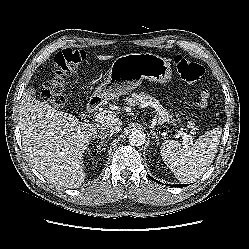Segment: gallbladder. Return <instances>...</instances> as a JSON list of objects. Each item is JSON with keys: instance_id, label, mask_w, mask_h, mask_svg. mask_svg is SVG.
I'll use <instances>...</instances> for the list:
<instances>
[{"instance_id": "1", "label": "gallbladder", "mask_w": 249, "mask_h": 249, "mask_svg": "<svg viewBox=\"0 0 249 249\" xmlns=\"http://www.w3.org/2000/svg\"><path fill=\"white\" fill-rule=\"evenodd\" d=\"M27 92L30 93V94H35L36 93V91H35V89L33 87H28Z\"/></svg>"}]
</instances>
